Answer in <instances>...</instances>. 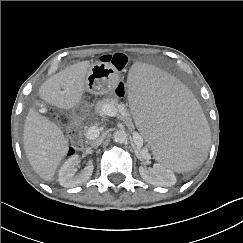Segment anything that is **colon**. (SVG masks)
Returning a JSON list of instances; mask_svg holds the SVG:
<instances>
[{
	"label": "colon",
	"mask_w": 243,
	"mask_h": 243,
	"mask_svg": "<svg viewBox=\"0 0 243 243\" xmlns=\"http://www.w3.org/2000/svg\"><path fill=\"white\" fill-rule=\"evenodd\" d=\"M100 61L105 64L112 65L117 71H121L125 68L128 62V58L123 53H115L110 55H104L100 58ZM115 93L118 96H122L125 93V87L122 82H119L115 88ZM48 116L51 119H56L59 116V111L56 108H51L48 111ZM70 154V151H69Z\"/></svg>",
	"instance_id": "1"
}]
</instances>
